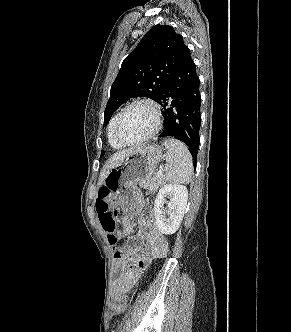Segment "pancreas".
<instances>
[{
  "label": "pancreas",
  "mask_w": 291,
  "mask_h": 332,
  "mask_svg": "<svg viewBox=\"0 0 291 332\" xmlns=\"http://www.w3.org/2000/svg\"><path fill=\"white\" fill-rule=\"evenodd\" d=\"M164 184L163 177L153 176L152 178L142 180L139 186L146 190L156 191L160 186Z\"/></svg>",
  "instance_id": "obj_1"
}]
</instances>
